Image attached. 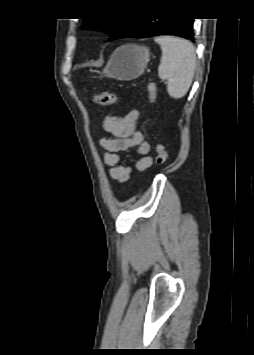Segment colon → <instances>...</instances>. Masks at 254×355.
<instances>
[{
	"label": "colon",
	"mask_w": 254,
	"mask_h": 355,
	"mask_svg": "<svg viewBox=\"0 0 254 355\" xmlns=\"http://www.w3.org/2000/svg\"><path fill=\"white\" fill-rule=\"evenodd\" d=\"M148 88V101L152 105L156 98V87L153 83L147 85ZM92 101L101 106H112L117 101V96L114 92L103 91L99 94H96L92 97ZM155 157L158 164H164L168 159V153L165 150L164 146L157 144L155 146Z\"/></svg>",
	"instance_id": "1"
}]
</instances>
